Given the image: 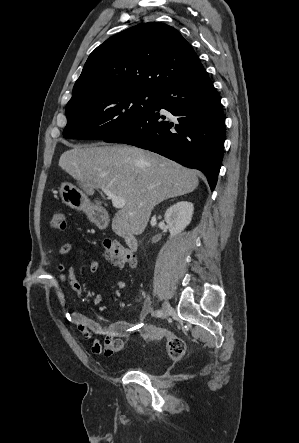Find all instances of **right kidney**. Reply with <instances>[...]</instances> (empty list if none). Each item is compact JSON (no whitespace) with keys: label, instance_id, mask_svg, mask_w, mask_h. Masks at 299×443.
Returning <instances> with one entry per match:
<instances>
[{"label":"right kidney","instance_id":"ca27d5eb","mask_svg":"<svg viewBox=\"0 0 299 443\" xmlns=\"http://www.w3.org/2000/svg\"><path fill=\"white\" fill-rule=\"evenodd\" d=\"M193 204L187 201L177 202L165 212V221L170 232V239L179 234L190 223L193 215Z\"/></svg>","mask_w":299,"mask_h":443}]
</instances>
